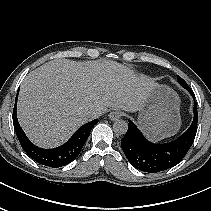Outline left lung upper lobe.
I'll return each instance as SVG.
<instances>
[{"label": "left lung upper lobe", "instance_id": "left-lung-upper-lobe-1", "mask_svg": "<svg viewBox=\"0 0 211 211\" xmlns=\"http://www.w3.org/2000/svg\"><path fill=\"white\" fill-rule=\"evenodd\" d=\"M177 81L183 85V84H187L180 76H177Z\"/></svg>", "mask_w": 211, "mask_h": 211}]
</instances>
